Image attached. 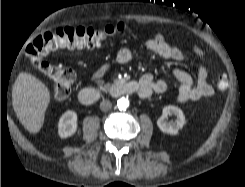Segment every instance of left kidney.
<instances>
[{
  "instance_id": "obj_1",
  "label": "left kidney",
  "mask_w": 245,
  "mask_h": 187,
  "mask_svg": "<svg viewBox=\"0 0 245 187\" xmlns=\"http://www.w3.org/2000/svg\"><path fill=\"white\" fill-rule=\"evenodd\" d=\"M169 115L176 117L175 122H167L166 119ZM185 124V116L182 110L176 106L168 105L162 110V116L157 120L159 129L166 134L177 135L179 130L183 128Z\"/></svg>"
}]
</instances>
